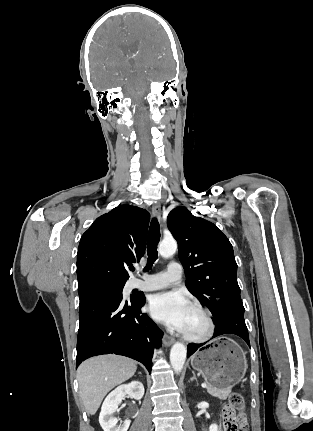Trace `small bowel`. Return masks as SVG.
Returning a JSON list of instances; mask_svg holds the SVG:
<instances>
[{"mask_svg": "<svg viewBox=\"0 0 313 431\" xmlns=\"http://www.w3.org/2000/svg\"><path fill=\"white\" fill-rule=\"evenodd\" d=\"M233 420L241 428H243V429L246 428V426H247V419H246V415L243 412H239L237 414H234ZM223 423H224V427H226V421H225L224 418H223Z\"/></svg>", "mask_w": 313, "mask_h": 431, "instance_id": "obj_1", "label": "small bowel"}]
</instances>
